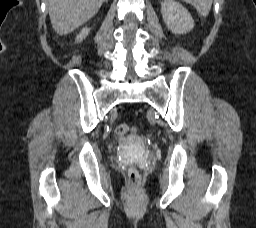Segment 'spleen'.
<instances>
[{"label": "spleen", "instance_id": "3e777b00", "mask_svg": "<svg viewBox=\"0 0 256 228\" xmlns=\"http://www.w3.org/2000/svg\"><path fill=\"white\" fill-rule=\"evenodd\" d=\"M183 2L193 5L199 14L203 17L207 16L210 12L212 0H182Z\"/></svg>", "mask_w": 256, "mask_h": 228}]
</instances>
